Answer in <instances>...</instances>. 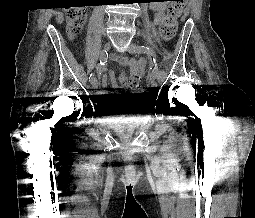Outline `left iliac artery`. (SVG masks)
Here are the masks:
<instances>
[{
    "instance_id": "left-iliac-artery-1",
    "label": "left iliac artery",
    "mask_w": 255,
    "mask_h": 218,
    "mask_svg": "<svg viewBox=\"0 0 255 218\" xmlns=\"http://www.w3.org/2000/svg\"><path fill=\"white\" fill-rule=\"evenodd\" d=\"M137 53H144V54L149 55L152 58L154 67H153V70L150 74V80H155L156 76L158 74V66H157V63H156L154 51L151 48L147 47V46H138Z\"/></svg>"
}]
</instances>
